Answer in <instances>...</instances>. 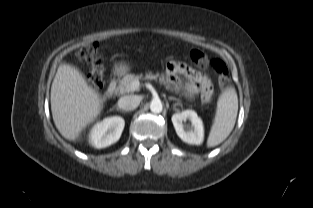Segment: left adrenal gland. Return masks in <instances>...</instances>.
I'll return each mask as SVG.
<instances>
[{
	"instance_id": "1",
	"label": "left adrenal gland",
	"mask_w": 313,
	"mask_h": 208,
	"mask_svg": "<svg viewBox=\"0 0 313 208\" xmlns=\"http://www.w3.org/2000/svg\"><path fill=\"white\" fill-rule=\"evenodd\" d=\"M168 99H169V100H174V101H177V102L180 101L179 99H177V98H175V97H169Z\"/></svg>"
}]
</instances>
